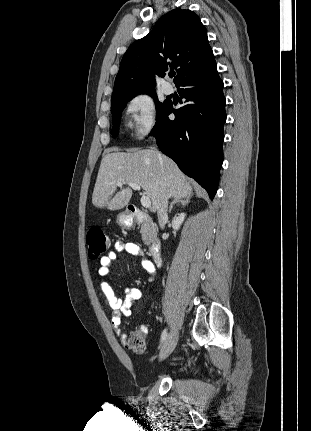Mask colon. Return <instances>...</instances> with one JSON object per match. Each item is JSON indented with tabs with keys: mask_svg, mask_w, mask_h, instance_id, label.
Instances as JSON below:
<instances>
[{
	"mask_svg": "<svg viewBox=\"0 0 311 431\" xmlns=\"http://www.w3.org/2000/svg\"><path fill=\"white\" fill-rule=\"evenodd\" d=\"M111 245L110 238L99 228L91 229L87 234L88 256L92 260L99 259ZM147 329L138 327L131 331L126 340L125 346L135 354H144L146 352Z\"/></svg>",
	"mask_w": 311,
	"mask_h": 431,
	"instance_id": "obj_1",
	"label": "colon"
}]
</instances>
